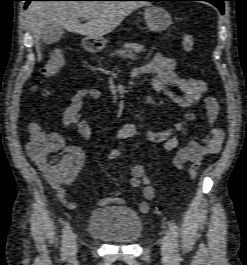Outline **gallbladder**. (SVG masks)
Segmentation results:
<instances>
[{
    "mask_svg": "<svg viewBox=\"0 0 247 265\" xmlns=\"http://www.w3.org/2000/svg\"><path fill=\"white\" fill-rule=\"evenodd\" d=\"M64 33L65 29L62 26L48 24L42 29L40 38L45 44L51 45L58 42Z\"/></svg>",
    "mask_w": 247,
    "mask_h": 265,
    "instance_id": "gallbladder-1",
    "label": "gallbladder"
}]
</instances>
